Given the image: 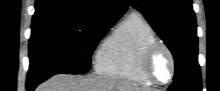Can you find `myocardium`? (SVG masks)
Masks as SVG:
<instances>
[{
	"instance_id": "f54148a6",
	"label": "myocardium",
	"mask_w": 220,
	"mask_h": 91,
	"mask_svg": "<svg viewBox=\"0 0 220 91\" xmlns=\"http://www.w3.org/2000/svg\"><path fill=\"white\" fill-rule=\"evenodd\" d=\"M159 51H164L170 60V75L167 81H160L152 70L153 59ZM140 68L143 75L152 83L165 86L170 84L175 76L176 61L172 50L164 43L156 41L150 44L143 52L140 59Z\"/></svg>"
}]
</instances>
